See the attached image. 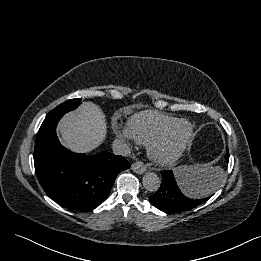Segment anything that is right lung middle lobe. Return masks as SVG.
<instances>
[{"instance_id": "right-lung-middle-lobe-1", "label": "right lung middle lobe", "mask_w": 261, "mask_h": 261, "mask_svg": "<svg viewBox=\"0 0 261 261\" xmlns=\"http://www.w3.org/2000/svg\"><path fill=\"white\" fill-rule=\"evenodd\" d=\"M80 104H81V98L70 99L58 105L56 108L50 111L46 117L64 115L66 112L76 109Z\"/></svg>"}]
</instances>
